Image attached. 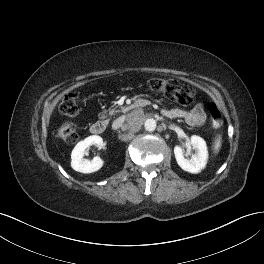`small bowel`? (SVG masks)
Masks as SVG:
<instances>
[{"label":"small bowel","mask_w":264,"mask_h":264,"mask_svg":"<svg viewBox=\"0 0 264 264\" xmlns=\"http://www.w3.org/2000/svg\"><path fill=\"white\" fill-rule=\"evenodd\" d=\"M163 113L169 118H181L190 126H201L206 120V115L202 104H196L190 110L166 109Z\"/></svg>","instance_id":"1"}]
</instances>
